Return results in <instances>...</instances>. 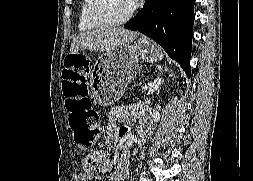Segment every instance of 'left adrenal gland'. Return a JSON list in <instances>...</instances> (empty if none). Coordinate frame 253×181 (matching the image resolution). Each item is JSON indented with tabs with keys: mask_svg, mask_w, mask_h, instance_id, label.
Instances as JSON below:
<instances>
[{
	"mask_svg": "<svg viewBox=\"0 0 253 181\" xmlns=\"http://www.w3.org/2000/svg\"><path fill=\"white\" fill-rule=\"evenodd\" d=\"M165 71H169L168 68H165ZM159 88H160V86L158 87V91H159Z\"/></svg>",
	"mask_w": 253,
	"mask_h": 181,
	"instance_id": "left-adrenal-gland-1",
	"label": "left adrenal gland"
}]
</instances>
